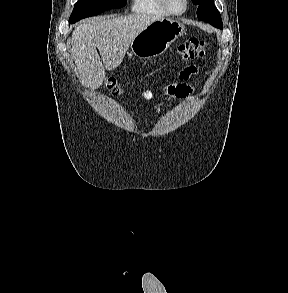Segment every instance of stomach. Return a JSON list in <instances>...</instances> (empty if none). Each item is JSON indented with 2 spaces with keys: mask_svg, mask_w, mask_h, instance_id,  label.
Returning <instances> with one entry per match:
<instances>
[{
  "mask_svg": "<svg viewBox=\"0 0 288 293\" xmlns=\"http://www.w3.org/2000/svg\"><path fill=\"white\" fill-rule=\"evenodd\" d=\"M185 26L171 18H161L150 23L131 42V53L141 59L163 54L183 35Z\"/></svg>",
  "mask_w": 288,
  "mask_h": 293,
  "instance_id": "1",
  "label": "stomach"
}]
</instances>
